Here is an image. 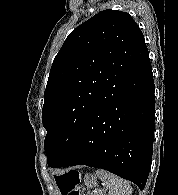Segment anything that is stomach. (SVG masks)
I'll return each mask as SVG.
<instances>
[{
  "label": "stomach",
  "instance_id": "obj_1",
  "mask_svg": "<svg viewBox=\"0 0 178 195\" xmlns=\"http://www.w3.org/2000/svg\"><path fill=\"white\" fill-rule=\"evenodd\" d=\"M84 184L88 190L93 189L97 185V179L94 175H85ZM92 195V194H91Z\"/></svg>",
  "mask_w": 178,
  "mask_h": 195
}]
</instances>
